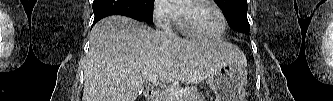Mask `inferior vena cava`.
Listing matches in <instances>:
<instances>
[{"label":"inferior vena cava","instance_id":"602c4592","mask_svg":"<svg viewBox=\"0 0 333 101\" xmlns=\"http://www.w3.org/2000/svg\"><path fill=\"white\" fill-rule=\"evenodd\" d=\"M160 29L163 30L170 38H176V35L173 33V30L171 28V25L169 21H164L160 23L159 25Z\"/></svg>","mask_w":333,"mask_h":101}]
</instances>
